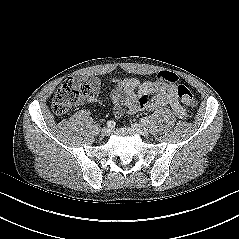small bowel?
Masks as SVG:
<instances>
[{"instance_id": "1", "label": "small bowel", "mask_w": 239, "mask_h": 239, "mask_svg": "<svg viewBox=\"0 0 239 239\" xmlns=\"http://www.w3.org/2000/svg\"><path fill=\"white\" fill-rule=\"evenodd\" d=\"M80 80L91 91L89 102H95L101 92L102 80L91 75H83ZM111 82L114 88L109 97L116 117H120L124 112L154 111L166 105L170 106L179 118L187 117L186 110L179 103L176 87L171 83L159 78L143 83L136 78H114ZM123 103L127 105L126 111L122 107Z\"/></svg>"}]
</instances>
